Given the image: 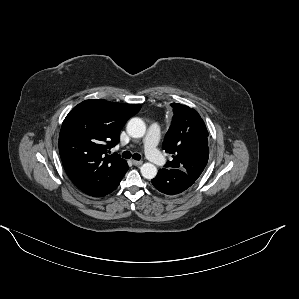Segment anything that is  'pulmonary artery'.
Here are the masks:
<instances>
[{
	"label": "pulmonary artery",
	"mask_w": 299,
	"mask_h": 299,
	"mask_svg": "<svg viewBox=\"0 0 299 299\" xmlns=\"http://www.w3.org/2000/svg\"><path fill=\"white\" fill-rule=\"evenodd\" d=\"M160 138V126L153 123L149 126L146 137L144 139V150L147 158L156 165L165 163L164 156L157 149Z\"/></svg>",
	"instance_id": "pulmonary-artery-1"
}]
</instances>
